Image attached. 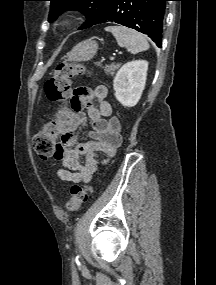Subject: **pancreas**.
<instances>
[{"mask_svg":"<svg viewBox=\"0 0 216 285\" xmlns=\"http://www.w3.org/2000/svg\"><path fill=\"white\" fill-rule=\"evenodd\" d=\"M119 67L120 63H112L111 65L105 66L104 71L107 75L113 76Z\"/></svg>","mask_w":216,"mask_h":285,"instance_id":"cf45deb5","label":"pancreas"}]
</instances>
